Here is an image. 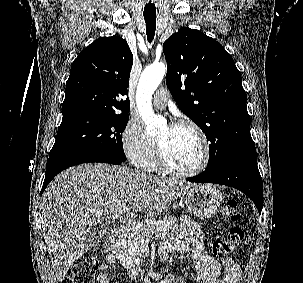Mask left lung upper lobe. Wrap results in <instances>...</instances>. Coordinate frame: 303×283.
<instances>
[{
	"instance_id": "left-lung-upper-lobe-1",
	"label": "left lung upper lobe",
	"mask_w": 303,
	"mask_h": 283,
	"mask_svg": "<svg viewBox=\"0 0 303 283\" xmlns=\"http://www.w3.org/2000/svg\"><path fill=\"white\" fill-rule=\"evenodd\" d=\"M163 52L169 91L210 142L207 169L255 150L241 73L223 46L183 27L164 42Z\"/></svg>"
}]
</instances>
